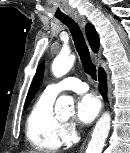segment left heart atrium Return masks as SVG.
<instances>
[{
	"label": "left heart atrium",
	"instance_id": "left-heart-atrium-1",
	"mask_svg": "<svg viewBox=\"0 0 130 153\" xmlns=\"http://www.w3.org/2000/svg\"><path fill=\"white\" fill-rule=\"evenodd\" d=\"M100 110L99 99L94 94L81 95L76 103V118L83 123L92 122Z\"/></svg>",
	"mask_w": 130,
	"mask_h": 153
}]
</instances>
